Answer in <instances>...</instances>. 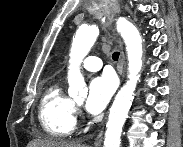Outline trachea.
Returning <instances> with one entry per match:
<instances>
[{
    "mask_svg": "<svg viewBox=\"0 0 183 147\" xmlns=\"http://www.w3.org/2000/svg\"><path fill=\"white\" fill-rule=\"evenodd\" d=\"M118 58H119V52H114L113 54H112V59L114 60V61H117L118 60Z\"/></svg>",
    "mask_w": 183,
    "mask_h": 147,
    "instance_id": "1",
    "label": "trachea"
}]
</instances>
